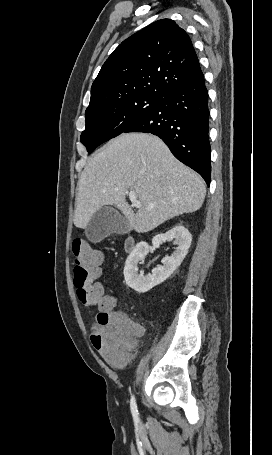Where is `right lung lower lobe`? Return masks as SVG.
Wrapping results in <instances>:
<instances>
[{
    "label": "right lung lower lobe",
    "instance_id": "1",
    "mask_svg": "<svg viewBox=\"0 0 272 455\" xmlns=\"http://www.w3.org/2000/svg\"><path fill=\"white\" fill-rule=\"evenodd\" d=\"M208 92L204 75L173 90L152 113L131 125L127 132L160 137L173 155L197 171L210 184Z\"/></svg>",
    "mask_w": 272,
    "mask_h": 455
}]
</instances>
